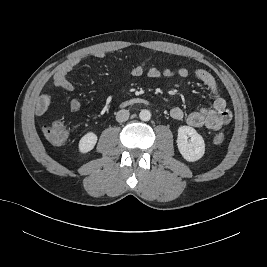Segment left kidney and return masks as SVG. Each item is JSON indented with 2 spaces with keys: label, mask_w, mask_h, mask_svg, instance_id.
<instances>
[{
  "label": "left kidney",
  "mask_w": 267,
  "mask_h": 267,
  "mask_svg": "<svg viewBox=\"0 0 267 267\" xmlns=\"http://www.w3.org/2000/svg\"><path fill=\"white\" fill-rule=\"evenodd\" d=\"M188 138H190L189 141ZM177 146L183 158L189 162L199 160L205 153L203 137L190 126L178 128Z\"/></svg>",
  "instance_id": "left-kidney-1"
}]
</instances>
